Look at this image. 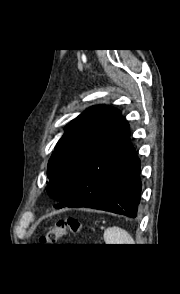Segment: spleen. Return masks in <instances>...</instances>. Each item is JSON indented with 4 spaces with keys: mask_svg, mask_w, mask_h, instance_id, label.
<instances>
[{
    "mask_svg": "<svg viewBox=\"0 0 180 294\" xmlns=\"http://www.w3.org/2000/svg\"><path fill=\"white\" fill-rule=\"evenodd\" d=\"M104 240L106 244H135L127 231L115 226L104 231Z\"/></svg>",
    "mask_w": 180,
    "mask_h": 294,
    "instance_id": "3e777b00",
    "label": "spleen"
}]
</instances>
